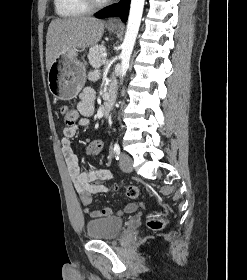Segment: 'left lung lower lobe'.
<instances>
[{
    "label": "left lung lower lobe",
    "mask_w": 247,
    "mask_h": 280,
    "mask_svg": "<svg viewBox=\"0 0 247 280\" xmlns=\"http://www.w3.org/2000/svg\"><path fill=\"white\" fill-rule=\"evenodd\" d=\"M130 0H122L116 5H113L102 12L96 14L97 18L115 17L120 16L124 21L127 20Z\"/></svg>",
    "instance_id": "0a47b994"
}]
</instances>
